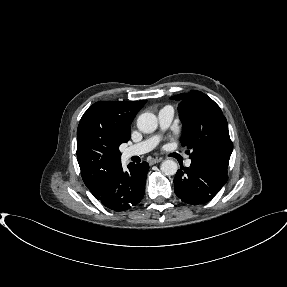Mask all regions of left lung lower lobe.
Returning a JSON list of instances; mask_svg holds the SVG:
<instances>
[{
    "mask_svg": "<svg viewBox=\"0 0 287 287\" xmlns=\"http://www.w3.org/2000/svg\"><path fill=\"white\" fill-rule=\"evenodd\" d=\"M227 168L228 162L218 159H192L190 167L181 166L175 175V194L185 203H206L227 182Z\"/></svg>",
    "mask_w": 287,
    "mask_h": 287,
    "instance_id": "1",
    "label": "left lung lower lobe"
}]
</instances>
